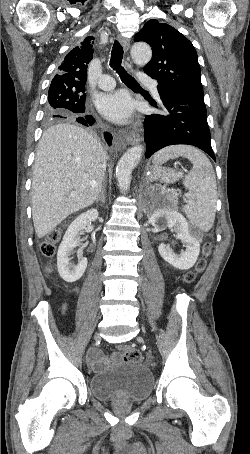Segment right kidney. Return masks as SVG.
<instances>
[{"label":"right kidney","instance_id":"obj_1","mask_svg":"<svg viewBox=\"0 0 250 454\" xmlns=\"http://www.w3.org/2000/svg\"><path fill=\"white\" fill-rule=\"evenodd\" d=\"M98 217L97 209H90L80 214L68 227L57 253V268L61 278L73 283L79 280L87 267V259L81 257L75 266L69 263L70 255L80 243V234L85 229L88 221H95Z\"/></svg>","mask_w":250,"mask_h":454}]
</instances>
